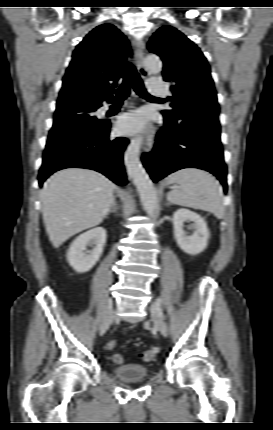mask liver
Instances as JSON below:
<instances>
[{
    "label": "liver",
    "instance_id": "1",
    "mask_svg": "<svg viewBox=\"0 0 273 430\" xmlns=\"http://www.w3.org/2000/svg\"><path fill=\"white\" fill-rule=\"evenodd\" d=\"M115 184L86 168L54 173L40 193L43 221L49 239L58 248L71 236L99 225L114 200Z\"/></svg>",
    "mask_w": 273,
    "mask_h": 430
}]
</instances>
